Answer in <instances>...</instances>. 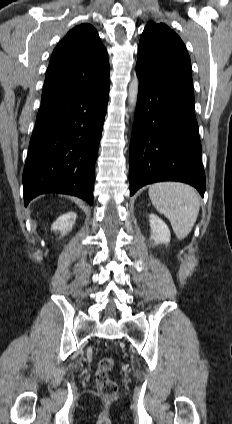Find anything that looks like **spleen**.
Masks as SVG:
<instances>
[{
  "label": "spleen",
  "instance_id": "obj_1",
  "mask_svg": "<svg viewBox=\"0 0 232 424\" xmlns=\"http://www.w3.org/2000/svg\"><path fill=\"white\" fill-rule=\"evenodd\" d=\"M149 197L157 211L169 219L177 238L184 239L200 209L196 190L185 183L160 182L149 187Z\"/></svg>",
  "mask_w": 232,
  "mask_h": 424
}]
</instances>
